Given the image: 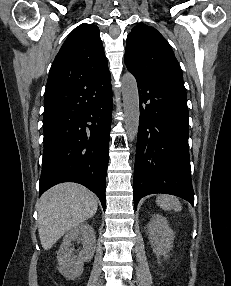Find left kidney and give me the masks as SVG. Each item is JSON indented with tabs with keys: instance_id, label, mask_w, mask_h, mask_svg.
I'll use <instances>...</instances> for the list:
<instances>
[{
	"instance_id": "1",
	"label": "left kidney",
	"mask_w": 231,
	"mask_h": 286,
	"mask_svg": "<svg viewBox=\"0 0 231 286\" xmlns=\"http://www.w3.org/2000/svg\"><path fill=\"white\" fill-rule=\"evenodd\" d=\"M147 229L153 252L158 257L161 255L167 257L174 240V232L170 228L168 220L162 215H153Z\"/></svg>"
}]
</instances>
